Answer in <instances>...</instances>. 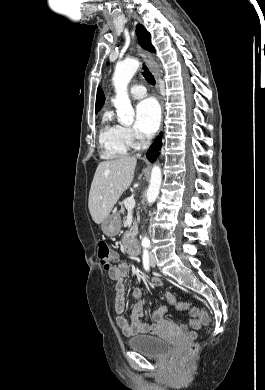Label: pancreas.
<instances>
[{
    "label": "pancreas",
    "mask_w": 265,
    "mask_h": 390,
    "mask_svg": "<svg viewBox=\"0 0 265 390\" xmlns=\"http://www.w3.org/2000/svg\"><path fill=\"white\" fill-rule=\"evenodd\" d=\"M120 213L121 214H124L125 213V208L123 207V205H121V210H120ZM137 225H138V220H134L133 221V226L131 228V230L127 233H125L124 235V239H123V242L125 243L128 239L132 238L134 236V234L137 232Z\"/></svg>",
    "instance_id": "obj_1"
}]
</instances>
